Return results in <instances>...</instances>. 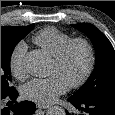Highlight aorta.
<instances>
[{"instance_id":"obj_1","label":"aorta","mask_w":115,"mask_h":115,"mask_svg":"<svg viewBox=\"0 0 115 115\" xmlns=\"http://www.w3.org/2000/svg\"><path fill=\"white\" fill-rule=\"evenodd\" d=\"M25 67L29 74L36 77H43L48 71V60L40 51L30 52L25 59ZM46 115H66L65 110L60 106H52Z\"/></svg>"}]
</instances>
